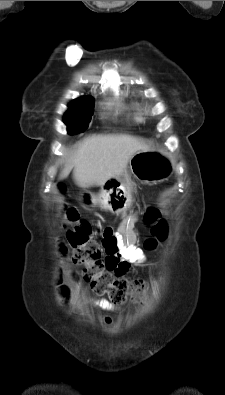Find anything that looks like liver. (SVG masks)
Here are the masks:
<instances>
[{"label":"liver","instance_id":"liver-1","mask_svg":"<svg viewBox=\"0 0 225 395\" xmlns=\"http://www.w3.org/2000/svg\"><path fill=\"white\" fill-rule=\"evenodd\" d=\"M148 146L130 135H97L86 138L60 173L67 178L73 170V179L81 188L102 186L112 178L127 172L131 157Z\"/></svg>","mask_w":225,"mask_h":395}]
</instances>
